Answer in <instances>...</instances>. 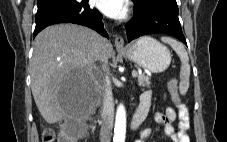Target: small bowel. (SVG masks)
I'll use <instances>...</instances> for the list:
<instances>
[{
	"mask_svg": "<svg viewBox=\"0 0 227 142\" xmlns=\"http://www.w3.org/2000/svg\"><path fill=\"white\" fill-rule=\"evenodd\" d=\"M151 91H146L141 95V102L149 106L151 105ZM176 107L178 109V113L171 108L168 107L166 110L161 112H153V119L164 126V133L167 137H169L172 142H190V138L188 136V130L190 128V118L187 111L186 106L183 103H177ZM178 116L179 125L178 130L176 131L173 124ZM151 136L150 129H144L140 134V139L135 142H147V140Z\"/></svg>",
	"mask_w": 227,
	"mask_h": 142,
	"instance_id": "obj_1",
	"label": "small bowel"
}]
</instances>
